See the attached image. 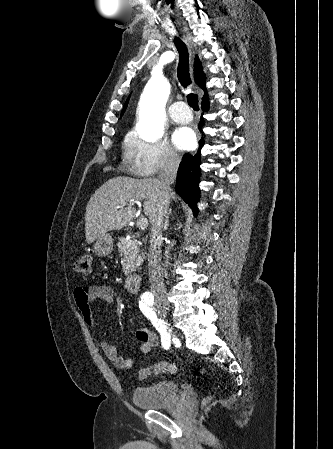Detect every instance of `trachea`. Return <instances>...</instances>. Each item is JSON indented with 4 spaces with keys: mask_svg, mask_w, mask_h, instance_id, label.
<instances>
[{
    "mask_svg": "<svg viewBox=\"0 0 333 449\" xmlns=\"http://www.w3.org/2000/svg\"><path fill=\"white\" fill-rule=\"evenodd\" d=\"M176 49L179 53V64L177 68V76L181 85L186 88L191 83L189 73V56L185 44L177 36L174 38ZM187 102L195 111L199 110L198 97L195 94L187 95Z\"/></svg>",
    "mask_w": 333,
    "mask_h": 449,
    "instance_id": "1",
    "label": "trachea"
}]
</instances>
